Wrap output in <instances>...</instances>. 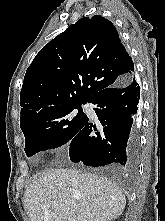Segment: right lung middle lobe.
I'll return each instance as SVG.
<instances>
[{
    "label": "right lung middle lobe",
    "instance_id": "dd1d6c3e",
    "mask_svg": "<svg viewBox=\"0 0 165 221\" xmlns=\"http://www.w3.org/2000/svg\"><path fill=\"white\" fill-rule=\"evenodd\" d=\"M82 104L48 110L20 123L25 136L24 150L27 156L71 141L88 120L82 112Z\"/></svg>",
    "mask_w": 165,
    "mask_h": 221
}]
</instances>
